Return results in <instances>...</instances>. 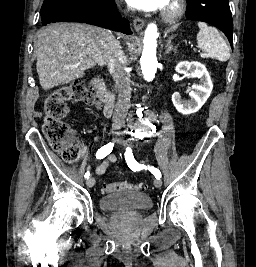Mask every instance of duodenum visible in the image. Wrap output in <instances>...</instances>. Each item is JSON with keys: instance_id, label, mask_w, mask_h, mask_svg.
I'll use <instances>...</instances> for the list:
<instances>
[{"instance_id": "1", "label": "duodenum", "mask_w": 256, "mask_h": 267, "mask_svg": "<svg viewBox=\"0 0 256 267\" xmlns=\"http://www.w3.org/2000/svg\"><path fill=\"white\" fill-rule=\"evenodd\" d=\"M93 85L97 91L99 99L104 104V115L106 117H111L114 106L113 94L107 89L106 83L102 77H95Z\"/></svg>"}]
</instances>
